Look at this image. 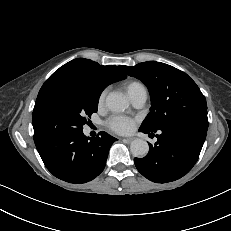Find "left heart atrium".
Instances as JSON below:
<instances>
[{
  "mask_svg": "<svg viewBox=\"0 0 231 231\" xmlns=\"http://www.w3.org/2000/svg\"><path fill=\"white\" fill-rule=\"evenodd\" d=\"M106 124L112 131L126 134L132 131L135 121L127 116L116 115L109 118Z\"/></svg>",
  "mask_w": 231,
  "mask_h": 231,
  "instance_id": "39dd6f15",
  "label": "left heart atrium"
}]
</instances>
